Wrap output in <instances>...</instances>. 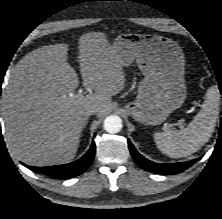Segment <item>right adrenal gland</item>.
<instances>
[{"mask_svg":"<svg viewBox=\"0 0 222 219\" xmlns=\"http://www.w3.org/2000/svg\"><path fill=\"white\" fill-rule=\"evenodd\" d=\"M87 120H88V119H86V123H87ZM86 123H85L84 127L86 126Z\"/></svg>","mask_w":222,"mask_h":219,"instance_id":"right-adrenal-gland-1","label":"right adrenal gland"}]
</instances>
